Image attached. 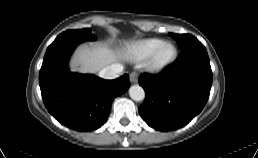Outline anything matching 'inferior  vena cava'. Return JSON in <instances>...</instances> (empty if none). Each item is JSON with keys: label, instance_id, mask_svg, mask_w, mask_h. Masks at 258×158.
Segmentation results:
<instances>
[{"label": "inferior vena cava", "instance_id": "obj_1", "mask_svg": "<svg viewBox=\"0 0 258 158\" xmlns=\"http://www.w3.org/2000/svg\"><path fill=\"white\" fill-rule=\"evenodd\" d=\"M123 71V66L121 64H111L100 70L99 76L104 79H115Z\"/></svg>", "mask_w": 258, "mask_h": 158}]
</instances>
